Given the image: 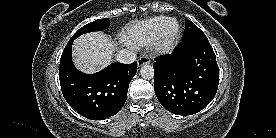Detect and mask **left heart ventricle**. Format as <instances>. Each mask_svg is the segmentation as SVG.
Returning a JSON list of instances; mask_svg holds the SVG:
<instances>
[{"label":"left heart ventricle","instance_id":"obj_1","mask_svg":"<svg viewBox=\"0 0 276 138\" xmlns=\"http://www.w3.org/2000/svg\"><path fill=\"white\" fill-rule=\"evenodd\" d=\"M177 24L176 22H170L166 28L167 35H171L176 31Z\"/></svg>","mask_w":276,"mask_h":138}]
</instances>
